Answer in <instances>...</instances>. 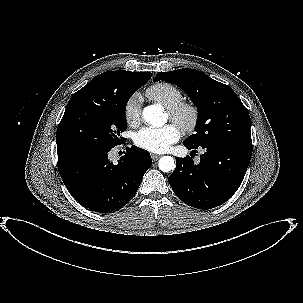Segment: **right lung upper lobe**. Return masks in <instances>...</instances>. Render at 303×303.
<instances>
[{
	"instance_id": "obj_1",
	"label": "right lung upper lobe",
	"mask_w": 303,
	"mask_h": 303,
	"mask_svg": "<svg viewBox=\"0 0 303 303\" xmlns=\"http://www.w3.org/2000/svg\"><path fill=\"white\" fill-rule=\"evenodd\" d=\"M151 76V73L131 72L125 70L104 72L92 79L78 92L98 94L102 96L108 95L119 92L121 88L129 82L138 81L143 78L149 80Z\"/></svg>"
}]
</instances>
